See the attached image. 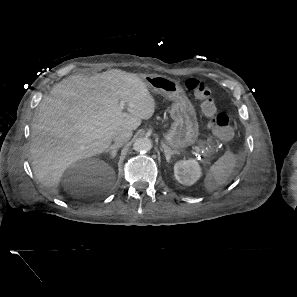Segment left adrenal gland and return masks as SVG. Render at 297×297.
Listing matches in <instances>:
<instances>
[{
	"label": "left adrenal gland",
	"mask_w": 297,
	"mask_h": 297,
	"mask_svg": "<svg viewBox=\"0 0 297 297\" xmlns=\"http://www.w3.org/2000/svg\"><path fill=\"white\" fill-rule=\"evenodd\" d=\"M162 147L164 149V154H165L166 161L169 163L172 155H174L176 152L170 150L165 144H162Z\"/></svg>",
	"instance_id": "obj_1"
}]
</instances>
